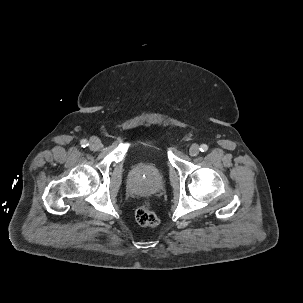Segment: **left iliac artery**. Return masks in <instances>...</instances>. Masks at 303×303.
Segmentation results:
<instances>
[{"instance_id":"44dca946","label":"left iliac artery","mask_w":303,"mask_h":303,"mask_svg":"<svg viewBox=\"0 0 303 303\" xmlns=\"http://www.w3.org/2000/svg\"><path fill=\"white\" fill-rule=\"evenodd\" d=\"M208 150V146L206 145V144H202L201 146H200V151L201 152H206Z\"/></svg>"}]
</instances>
